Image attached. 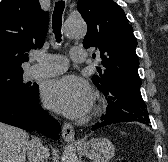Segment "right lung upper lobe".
<instances>
[{
    "mask_svg": "<svg viewBox=\"0 0 168 162\" xmlns=\"http://www.w3.org/2000/svg\"><path fill=\"white\" fill-rule=\"evenodd\" d=\"M48 23L38 0L0 2V75L23 72L26 52L43 46Z\"/></svg>",
    "mask_w": 168,
    "mask_h": 162,
    "instance_id": "1",
    "label": "right lung upper lobe"
}]
</instances>
